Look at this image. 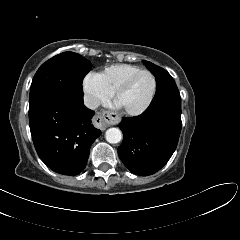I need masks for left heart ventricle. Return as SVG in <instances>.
<instances>
[{"instance_id": "obj_1", "label": "left heart ventricle", "mask_w": 240, "mask_h": 240, "mask_svg": "<svg viewBox=\"0 0 240 240\" xmlns=\"http://www.w3.org/2000/svg\"><path fill=\"white\" fill-rule=\"evenodd\" d=\"M153 90V79L149 74L140 75L125 91L119 103L126 109H137L142 107L150 98Z\"/></svg>"}]
</instances>
